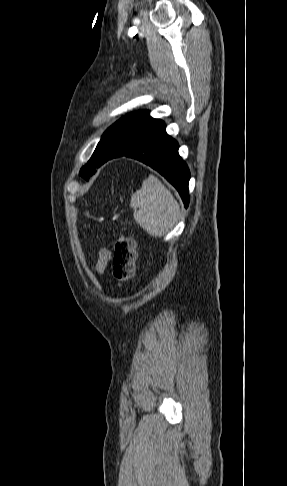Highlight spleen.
<instances>
[{
	"label": "spleen",
	"mask_w": 287,
	"mask_h": 486,
	"mask_svg": "<svg viewBox=\"0 0 287 486\" xmlns=\"http://www.w3.org/2000/svg\"><path fill=\"white\" fill-rule=\"evenodd\" d=\"M135 221L149 235L162 237L177 223L180 206L171 192L154 175L142 182V187L131 196Z\"/></svg>",
	"instance_id": "obj_1"
}]
</instances>
